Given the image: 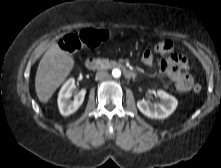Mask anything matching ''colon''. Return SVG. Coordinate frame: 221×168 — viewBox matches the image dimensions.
Wrapping results in <instances>:
<instances>
[{"label": "colon", "mask_w": 221, "mask_h": 168, "mask_svg": "<svg viewBox=\"0 0 221 168\" xmlns=\"http://www.w3.org/2000/svg\"><path fill=\"white\" fill-rule=\"evenodd\" d=\"M109 33L106 30L85 29L79 34H68L60 40V47L68 52H76L82 45L95 46L108 39ZM173 44L169 40L160 41L155 45V50L161 54L172 53ZM201 85L195 84L193 91L199 93Z\"/></svg>", "instance_id": "colon-1"}]
</instances>
